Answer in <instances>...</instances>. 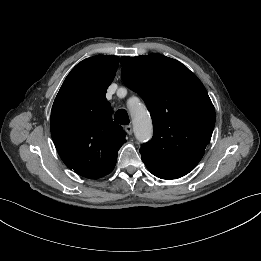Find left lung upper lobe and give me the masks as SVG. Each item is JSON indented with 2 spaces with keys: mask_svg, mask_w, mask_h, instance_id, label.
I'll list each match as a JSON object with an SVG mask.
<instances>
[{
  "mask_svg": "<svg viewBox=\"0 0 261 261\" xmlns=\"http://www.w3.org/2000/svg\"><path fill=\"white\" fill-rule=\"evenodd\" d=\"M121 78L146 103L153 138L140 148L145 164L187 174L204 155L215 125L201 81L179 61L149 54L121 58Z\"/></svg>",
  "mask_w": 261,
  "mask_h": 261,
  "instance_id": "left-lung-upper-lobe-1",
  "label": "left lung upper lobe"
}]
</instances>
